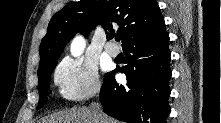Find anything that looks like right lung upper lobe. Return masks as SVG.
Segmentation results:
<instances>
[{"instance_id": "1", "label": "right lung upper lobe", "mask_w": 221, "mask_h": 123, "mask_svg": "<svg viewBox=\"0 0 221 123\" xmlns=\"http://www.w3.org/2000/svg\"><path fill=\"white\" fill-rule=\"evenodd\" d=\"M99 23L106 29L107 40L116 36L114 28H117V34L122 35L123 50L166 33L156 0H80L66 5L52 17L41 42L39 69L57 60L75 34L86 35Z\"/></svg>"}]
</instances>
